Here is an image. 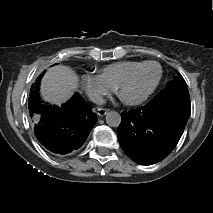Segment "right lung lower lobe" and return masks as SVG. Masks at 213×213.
I'll return each instance as SVG.
<instances>
[{
    "label": "right lung lower lobe",
    "mask_w": 213,
    "mask_h": 213,
    "mask_svg": "<svg viewBox=\"0 0 213 213\" xmlns=\"http://www.w3.org/2000/svg\"><path fill=\"white\" fill-rule=\"evenodd\" d=\"M39 78L32 85L28 100L34 132L48 150L67 154L78 149L97 122V116L79 94L58 107L47 105L39 96Z\"/></svg>",
    "instance_id": "1"
}]
</instances>
